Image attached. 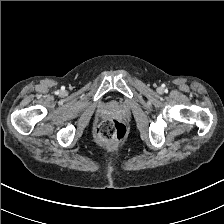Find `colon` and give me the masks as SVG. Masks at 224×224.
I'll return each mask as SVG.
<instances>
[{
	"instance_id": "1",
	"label": "colon",
	"mask_w": 224,
	"mask_h": 224,
	"mask_svg": "<svg viewBox=\"0 0 224 224\" xmlns=\"http://www.w3.org/2000/svg\"><path fill=\"white\" fill-rule=\"evenodd\" d=\"M126 135V126L116 119L105 121L95 132L97 142L106 146L122 142L126 138Z\"/></svg>"
}]
</instances>
